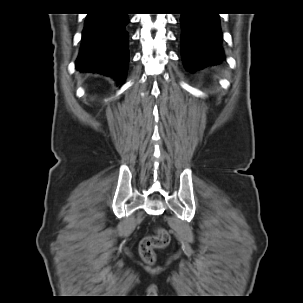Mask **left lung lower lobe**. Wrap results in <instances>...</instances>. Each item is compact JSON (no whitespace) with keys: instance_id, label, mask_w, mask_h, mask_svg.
<instances>
[{"instance_id":"1","label":"left lung lower lobe","mask_w":303,"mask_h":303,"mask_svg":"<svg viewBox=\"0 0 303 303\" xmlns=\"http://www.w3.org/2000/svg\"><path fill=\"white\" fill-rule=\"evenodd\" d=\"M181 47L185 66L191 72L224 61L217 13L181 15Z\"/></svg>"}]
</instances>
